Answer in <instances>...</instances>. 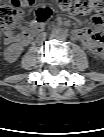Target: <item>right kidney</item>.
<instances>
[{"label": "right kidney", "mask_w": 104, "mask_h": 137, "mask_svg": "<svg viewBox=\"0 0 104 137\" xmlns=\"http://www.w3.org/2000/svg\"><path fill=\"white\" fill-rule=\"evenodd\" d=\"M23 48L18 44L10 45L4 53V58L6 61L12 63L15 62L20 54L22 53Z\"/></svg>", "instance_id": "ca27d5eb"}]
</instances>
